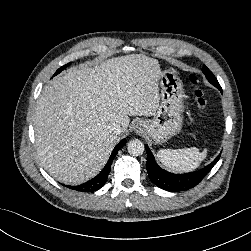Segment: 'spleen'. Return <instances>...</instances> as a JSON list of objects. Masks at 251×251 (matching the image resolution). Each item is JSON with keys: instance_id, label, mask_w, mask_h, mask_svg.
Returning a JSON list of instances; mask_svg holds the SVG:
<instances>
[{"instance_id": "1", "label": "spleen", "mask_w": 251, "mask_h": 251, "mask_svg": "<svg viewBox=\"0 0 251 251\" xmlns=\"http://www.w3.org/2000/svg\"><path fill=\"white\" fill-rule=\"evenodd\" d=\"M207 149L202 152L198 148L161 149L157 153L159 161L168 169L176 172H190L195 170L206 158Z\"/></svg>"}]
</instances>
